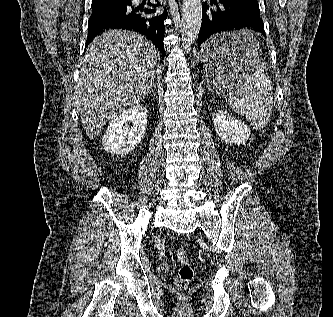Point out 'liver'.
<instances>
[{
	"label": "liver",
	"mask_w": 333,
	"mask_h": 317,
	"mask_svg": "<svg viewBox=\"0 0 333 317\" xmlns=\"http://www.w3.org/2000/svg\"><path fill=\"white\" fill-rule=\"evenodd\" d=\"M157 57L151 41L130 31H107L88 45L75 102L90 138L149 94Z\"/></svg>",
	"instance_id": "6515ba94"
}]
</instances>
